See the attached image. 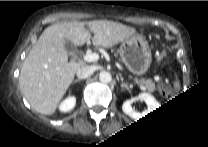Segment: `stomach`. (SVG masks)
Segmentation results:
<instances>
[{
  "instance_id": "stomach-1",
  "label": "stomach",
  "mask_w": 208,
  "mask_h": 147,
  "mask_svg": "<svg viewBox=\"0 0 208 147\" xmlns=\"http://www.w3.org/2000/svg\"><path fill=\"white\" fill-rule=\"evenodd\" d=\"M118 53L123 64L134 74H145L151 64L152 52L141 32L126 37L118 44Z\"/></svg>"
}]
</instances>
